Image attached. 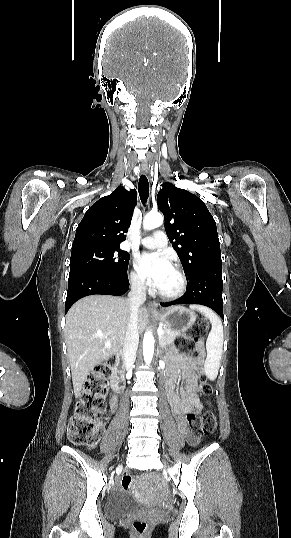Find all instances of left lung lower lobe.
Listing matches in <instances>:
<instances>
[{"label": "left lung lower lobe", "instance_id": "0a47b994", "mask_svg": "<svg viewBox=\"0 0 291 538\" xmlns=\"http://www.w3.org/2000/svg\"><path fill=\"white\" fill-rule=\"evenodd\" d=\"M222 289V266H210L189 279L186 293L181 298L161 303V306L200 304L213 309L224 320Z\"/></svg>", "mask_w": 291, "mask_h": 538}]
</instances>
